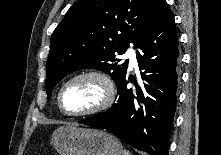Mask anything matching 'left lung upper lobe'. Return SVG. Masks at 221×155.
Masks as SVG:
<instances>
[{"label":"left lung upper lobe","mask_w":221,"mask_h":155,"mask_svg":"<svg viewBox=\"0 0 221 155\" xmlns=\"http://www.w3.org/2000/svg\"><path fill=\"white\" fill-rule=\"evenodd\" d=\"M165 0H80L69 9L51 37L47 61L46 90L67 74L84 69H99L118 85L126 76L116 54H124L129 44L136 47L149 23Z\"/></svg>","instance_id":"5c2ea615"}]
</instances>
